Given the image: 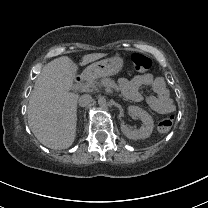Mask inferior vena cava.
I'll list each match as a JSON object with an SVG mask.
<instances>
[{"instance_id":"602c4592","label":"inferior vena cava","mask_w":208,"mask_h":208,"mask_svg":"<svg viewBox=\"0 0 208 208\" xmlns=\"http://www.w3.org/2000/svg\"><path fill=\"white\" fill-rule=\"evenodd\" d=\"M94 100L91 98L90 95H82L79 100H78V103H79V106L80 107H88V106H91L93 104Z\"/></svg>"}]
</instances>
